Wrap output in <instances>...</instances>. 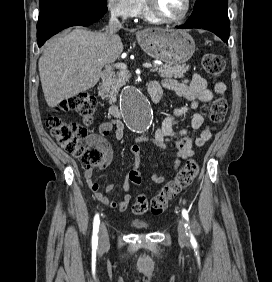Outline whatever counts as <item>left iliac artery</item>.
Masks as SVG:
<instances>
[{
    "instance_id": "44dca946",
    "label": "left iliac artery",
    "mask_w": 272,
    "mask_h": 282,
    "mask_svg": "<svg viewBox=\"0 0 272 282\" xmlns=\"http://www.w3.org/2000/svg\"><path fill=\"white\" fill-rule=\"evenodd\" d=\"M182 216H183V218H184V219L186 220V222H187V223L185 224V227H187V228L189 229V225H188L189 216H188V212H187L186 209H183V210H182ZM189 235H190L191 243H192V244H195V243H196V240H195L194 236L192 235L191 232H189Z\"/></svg>"
}]
</instances>
